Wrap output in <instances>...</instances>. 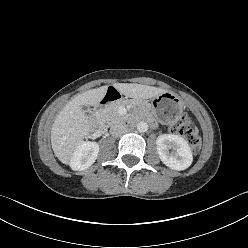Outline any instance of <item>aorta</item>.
Here are the masks:
<instances>
[{
	"label": "aorta",
	"instance_id": "1",
	"mask_svg": "<svg viewBox=\"0 0 248 248\" xmlns=\"http://www.w3.org/2000/svg\"><path fill=\"white\" fill-rule=\"evenodd\" d=\"M137 130L139 132H146L148 130V124L146 122H143V121L139 122L137 124Z\"/></svg>",
	"mask_w": 248,
	"mask_h": 248
}]
</instances>
